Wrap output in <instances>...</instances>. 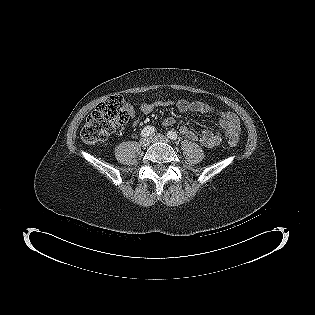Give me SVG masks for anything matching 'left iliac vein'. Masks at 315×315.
I'll return each mask as SVG.
<instances>
[{
  "instance_id": "1",
  "label": "left iliac vein",
  "mask_w": 315,
  "mask_h": 315,
  "mask_svg": "<svg viewBox=\"0 0 315 315\" xmlns=\"http://www.w3.org/2000/svg\"><path fill=\"white\" fill-rule=\"evenodd\" d=\"M150 141L155 143V142H165V143H169V139L162 134H154L150 137Z\"/></svg>"
}]
</instances>
